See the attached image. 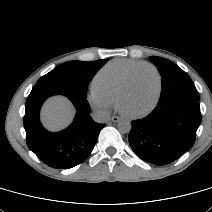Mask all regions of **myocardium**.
<instances>
[{
  "label": "myocardium",
  "mask_w": 212,
  "mask_h": 212,
  "mask_svg": "<svg viewBox=\"0 0 212 212\" xmlns=\"http://www.w3.org/2000/svg\"><path fill=\"white\" fill-rule=\"evenodd\" d=\"M142 68H149L151 70H153V72L155 73L157 80H158V89H157V94H156V98L154 100V102L152 103V105L145 111L141 112V113H127L125 111L122 110L121 108V102L122 99L125 95V93L127 92L128 88L130 87L132 80L134 78V75ZM162 87H163V79H162V75L160 73V71L158 70V68L156 66H154L151 63H147L144 62L136 67H134L129 74L127 75L126 79L124 80L123 84L121 85V88L117 94V108L120 110L121 113H123L125 116L130 117V118H142L146 115H148L149 113H151L154 108L157 106L160 97H161V93H162Z\"/></svg>",
  "instance_id": "myocardium-1"
}]
</instances>
